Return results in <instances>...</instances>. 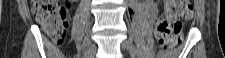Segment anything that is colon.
<instances>
[{"label":"colon","instance_id":"1","mask_svg":"<svg viewBox=\"0 0 225 58\" xmlns=\"http://www.w3.org/2000/svg\"><path fill=\"white\" fill-rule=\"evenodd\" d=\"M32 12L48 38L55 44H60L69 26L67 18L68 6L59 0H35ZM193 13L190 0H168L162 17L155 27V39L163 49H171L181 41L183 21L188 20Z\"/></svg>","mask_w":225,"mask_h":58}]
</instances>
